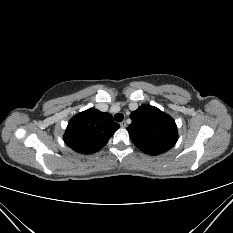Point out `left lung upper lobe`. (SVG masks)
<instances>
[{
    "mask_svg": "<svg viewBox=\"0 0 233 233\" xmlns=\"http://www.w3.org/2000/svg\"><path fill=\"white\" fill-rule=\"evenodd\" d=\"M127 130L134 144L148 155H159L172 148L178 139L175 121L151 105H142L130 115Z\"/></svg>",
    "mask_w": 233,
    "mask_h": 233,
    "instance_id": "obj_1",
    "label": "left lung upper lobe"
}]
</instances>
